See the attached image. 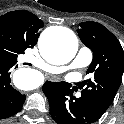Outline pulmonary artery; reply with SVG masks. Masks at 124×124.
<instances>
[{
	"label": "pulmonary artery",
	"mask_w": 124,
	"mask_h": 124,
	"mask_svg": "<svg viewBox=\"0 0 124 124\" xmlns=\"http://www.w3.org/2000/svg\"><path fill=\"white\" fill-rule=\"evenodd\" d=\"M26 61L32 62L34 66L40 68L41 70L47 71L53 74H59L65 71V67L51 66L40 59L34 58L32 56H26ZM93 59V53L88 47H81L72 61L71 68H84L88 66Z\"/></svg>",
	"instance_id": "obj_1"
}]
</instances>
